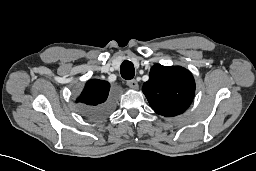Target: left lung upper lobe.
Here are the masks:
<instances>
[{
	"label": "left lung upper lobe",
	"instance_id": "5c2ea615",
	"mask_svg": "<svg viewBox=\"0 0 256 171\" xmlns=\"http://www.w3.org/2000/svg\"><path fill=\"white\" fill-rule=\"evenodd\" d=\"M142 91L156 113L165 117L176 116L191 104L195 81L191 72L183 67L154 65Z\"/></svg>",
	"mask_w": 256,
	"mask_h": 171
}]
</instances>
